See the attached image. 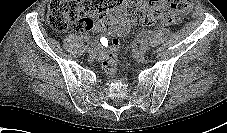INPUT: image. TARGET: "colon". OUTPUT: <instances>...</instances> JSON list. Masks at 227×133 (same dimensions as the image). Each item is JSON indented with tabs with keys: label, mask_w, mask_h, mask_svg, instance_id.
Returning a JSON list of instances; mask_svg holds the SVG:
<instances>
[{
	"label": "colon",
	"mask_w": 227,
	"mask_h": 133,
	"mask_svg": "<svg viewBox=\"0 0 227 133\" xmlns=\"http://www.w3.org/2000/svg\"><path fill=\"white\" fill-rule=\"evenodd\" d=\"M121 0H50L48 5V22L56 31H65L74 27L77 31H87L94 26L91 16L99 19L104 18L107 13L119 5ZM194 0H150L149 9L133 2L129 5V13L135 23L151 25L162 19L167 14L178 17L192 11ZM168 10L163 12V8ZM120 50V40L113 39L110 50L103 62L106 73L113 74L116 70L117 55Z\"/></svg>",
	"instance_id": "colon-1"
}]
</instances>
